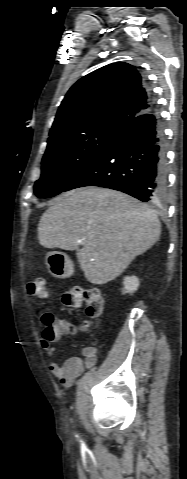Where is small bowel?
Masks as SVG:
<instances>
[{
	"mask_svg": "<svg viewBox=\"0 0 187 479\" xmlns=\"http://www.w3.org/2000/svg\"><path fill=\"white\" fill-rule=\"evenodd\" d=\"M58 320L66 327L70 325L69 321L65 319ZM53 341L55 340H48L44 337L40 341L41 348L45 350L47 354L52 358L55 356L56 353V350L52 345ZM81 354L83 357L72 356L62 363H58L53 360L49 364L50 372L66 388L72 386L74 381L82 375L84 370L92 368L97 361L96 349L92 346L83 347L81 350Z\"/></svg>",
	"mask_w": 187,
	"mask_h": 479,
	"instance_id": "c3829d8e",
	"label": "small bowel"
}]
</instances>
